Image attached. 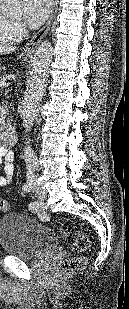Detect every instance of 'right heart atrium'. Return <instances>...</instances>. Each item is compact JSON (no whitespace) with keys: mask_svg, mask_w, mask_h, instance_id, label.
<instances>
[{"mask_svg":"<svg viewBox=\"0 0 129 309\" xmlns=\"http://www.w3.org/2000/svg\"><path fill=\"white\" fill-rule=\"evenodd\" d=\"M13 32L17 38H20L24 35L25 30L23 26L18 22H13Z\"/></svg>","mask_w":129,"mask_h":309,"instance_id":"right-heart-atrium-1","label":"right heart atrium"}]
</instances>
